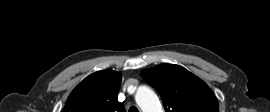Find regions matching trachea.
<instances>
[{
    "instance_id": "trachea-1",
    "label": "trachea",
    "mask_w": 270,
    "mask_h": 112,
    "mask_svg": "<svg viewBox=\"0 0 270 112\" xmlns=\"http://www.w3.org/2000/svg\"><path fill=\"white\" fill-rule=\"evenodd\" d=\"M129 112H139L138 109L135 106H131L129 108Z\"/></svg>"
}]
</instances>
